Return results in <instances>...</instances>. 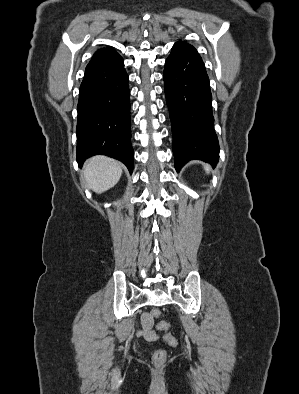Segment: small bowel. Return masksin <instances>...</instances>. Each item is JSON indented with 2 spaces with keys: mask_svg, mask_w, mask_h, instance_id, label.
<instances>
[{
  "mask_svg": "<svg viewBox=\"0 0 299 394\" xmlns=\"http://www.w3.org/2000/svg\"><path fill=\"white\" fill-rule=\"evenodd\" d=\"M153 318L150 314L145 313L141 318L142 328L138 332L139 336L143 337L146 341L153 342L159 338V335L153 330Z\"/></svg>",
  "mask_w": 299,
  "mask_h": 394,
  "instance_id": "small-bowel-1",
  "label": "small bowel"
}]
</instances>
